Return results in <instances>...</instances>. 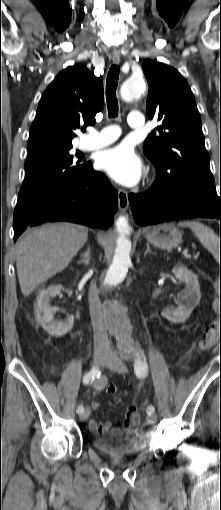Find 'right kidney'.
Returning <instances> with one entry per match:
<instances>
[{"mask_svg": "<svg viewBox=\"0 0 221 510\" xmlns=\"http://www.w3.org/2000/svg\"><path fill=\"white\" fill-rule=\"evenodd\" d=\"M63 289L61 285H52L47 289H42L35 303V316L50 335L60 337L70 331L74 325L73 318H67L63 321L54 319V313L59 309L49 304L50 298L56 296Z\"/></svg>", "mask_w": 221, "mask_h": 510, "instance_id": "obj_1", "label": "right kidney"}]
</instances>
